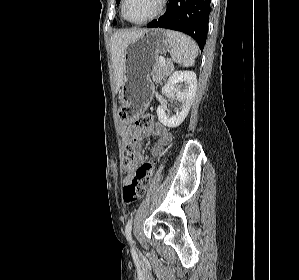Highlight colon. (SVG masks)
<instances>
[{"mask_svg":"<svg viewBox=\"0 0 299 280\" xmlns=\"http://www.w3.org/2000/svg\"><path fill=\"white\" fill-rule=\"evenodd\" d=\"M152 120L153 117L151 115H143L136 121L135 125H133V132L145 133L146 129L144 127H147ZM132 156V142L129 141L123 150L124 163L129 162ZM153 168L154 166L151 162L142 163L136 170L135 178L124 184L123 200L126 204H133L144 196Z\"/></svg>","mask_w":299,"mask_h":280,"instance_id":"obj_1","label":"colon"}]
</instances>
